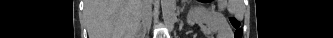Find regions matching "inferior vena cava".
Returning a JSON list of instances; mask_svg holds the SVG:
<instances>
[{
  "label": "inferior vena cava",
  "mask_w": 333,
  "mask_h": 38,
  "mask_svg": "<svg viewBox=\"0 0 333 38\" xmlns=\"http://www.w3.org/2000/svg\"><path fill=\"white\" fill-rule=\"evenodd\" d=\"M142 22L145 26H150L152 22V0H143Z\"/></svg>",
  "instance_id": "602c4592"
}]
</instances>
